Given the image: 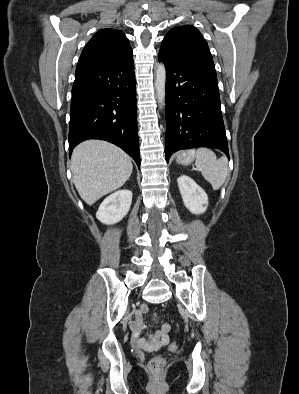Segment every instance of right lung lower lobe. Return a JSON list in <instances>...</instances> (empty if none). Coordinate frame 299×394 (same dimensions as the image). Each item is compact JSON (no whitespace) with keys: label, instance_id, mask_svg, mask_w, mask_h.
<instances>
[{"label":"right lung lower lobe","instance_id":"right-lung-lower-lobe-1","mask_svg":"<svg viewBox=\"0 0 299 394\" xmlns=\"http://www.w3.org/2000/svg\"><path fill=\"white\" fill-rule=\"evenodd\" d=\"M87 139L119 146L140 168L133 60L76 72L70 109V155Z\"/></svg>","mask_w":299,"mask_h":394}]
</instances>
